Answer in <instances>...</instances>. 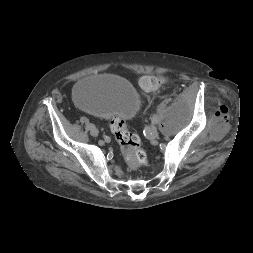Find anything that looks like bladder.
I'll list each match as a JSON object with an SVG mask.
<instances>
[{"label":"bladder","instance_id":"obj_1","mask_svg":"<svg viewBox=\"0 0 253 253\" xmlns=\"http://www.w3.org/2000/svg\"><path fill=\"white\" fill-rule=\"evenodd\" d=\"M72 95L84 110L107 119L129 120L139 111L141 99L126 79L113 75H92L80 79Z\"/></svg>","mask_w":253,"mask_h":253}]
</instances>
